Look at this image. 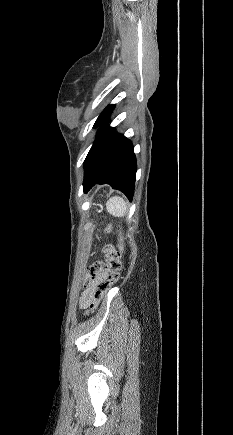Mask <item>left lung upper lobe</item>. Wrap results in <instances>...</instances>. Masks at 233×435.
<instances>
[{"instance_id":"left-lung-upper-lobe-1","label":"left lung upper lobe","mask_w":233,"mask_h":435,"mask_svg":"<svg viewBox=\"0 0 233 435\" xmlns=\"http://www.w3.org/2000/svg\"><path fill=\"white\" fill-rule=\"evenodd\" d=\"M113 108H114V105H109L108 107H106L104 109V111L98 117V119H97V121L95 122V125H94V126H97V125L101 126L99 131H98V133H100V131L104 128L103 126H105L108 123L107 117L109 116V114L111 113Z\"/></svg>"}]
</instances>
